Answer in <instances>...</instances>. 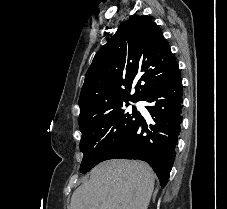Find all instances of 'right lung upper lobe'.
I'll use <instances>...</instances> for the list:
<instances>
[{
    "mask_svg": "<svg viewBox=\"0 0 227 209\" xmlns=\"http://www.w3.org/2000/svg\"><path fill=\"white\" fill-rule=\"evenodd\" d=\"M176 64L162 30L151 17H131L94 56L79 98V119L101 114L108 98L144 100L167 76L153 69Z\"/></svg>",
    "mask_w": 227,
    "mask_h": 209,
    "instance_id": "right-lung-upper-lobe-1",
    "label": "right lung upper lobe"
}]
</instances>
